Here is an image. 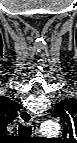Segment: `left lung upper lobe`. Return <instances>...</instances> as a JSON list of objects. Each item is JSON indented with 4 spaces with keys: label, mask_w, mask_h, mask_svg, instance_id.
<instances>
[{
    "label": "left lung upper lobe",
    "mask_w": 77,
    "mask_h": 143,
    "mask_svg": "<svg viewBox=\"0 0 77 143\" xmlns=\"http://www.w3.org/2000/svg\"><path fill=\"white\" fill-rule=\"evenodd\" d=\"M53 117L60 118L64 126L63 136L73 139L77 136V100L66 98L61 100L52 112Z\"/></svg>",
    "instance_id": "1"
}]
</instances>
